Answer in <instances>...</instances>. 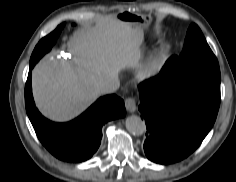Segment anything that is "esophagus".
Returning a JSON list of instances; mask_svg holds the SVG:
<instances>
[{
    "instance_id": "obj_1",
    "label": "esophagus",
    "mask_w": 236,
    "mask_h": 182,
    "mask_svg": "<svg viewBox=\"0 0 236 182\" xmlns=\"http://www.w3.org/2000/svg\"><path fill=\"white\" fill-rule=\"evenodd\" d=\"M125 107L128 112L134 113L137 109L136 101L133 97H129L125 100Z\"/></svg>"
}]
</instances>
